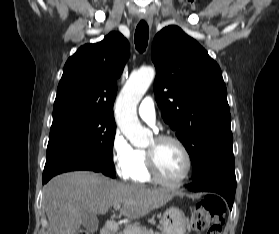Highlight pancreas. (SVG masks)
<instances>
[{
  "label": "pancreas",
  "instance_id": "pancreas-1",
  "mask_svg": "<svg viewBox=\"0 0 279 234\" xmlns=\"http://www.w3.org/2000/svg\"><path fill=\"white\" fill-rule=\"evenodd\" d=\"M118 234H159V233H153L152 231L146 230L145 227L133 224L128 225L122 232Z\"/></svg>",
  "mask_w": 279,
  "mask_h": 234
}]
</instances>
